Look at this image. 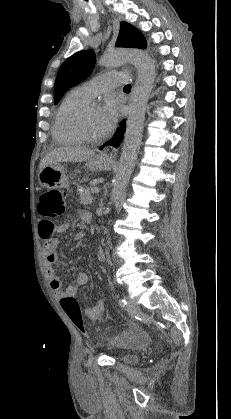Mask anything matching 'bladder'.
<instances>
[{"label":"bladder","mask_w":231,"mask_h":419,"mask_svg":"<svg viewBox=\"0 0 231 419\" xmlns=\"http://www.w3.org/2000/svg\"><path fill=\"white\" fill-rule=\"evenodd\" d=\"M117 360L120 363L132 365L139 362V356L133 353H123Z\"/></svg>","instance_id":"31cf9c89"}]
</instances>
